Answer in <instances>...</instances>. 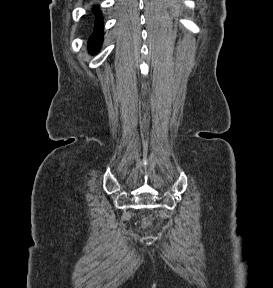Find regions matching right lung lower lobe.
Instances as JSON below:
<instances>
[{"label":"right lung lower lobe","mask_w":273,"mask_h":288,"mask_svg":"<svg viewBox=\"0 0 273 288\" xmlns=\"http://www.w3.org/2000/svg\"><path fill=\"white\" fill-rule=\"evenodd\" d=\"M97 18H96V22H95V29L93 34L91 35L90 39H89V45L88 48L90 49L91 53H95L98 51L101 42H102V17L99 15L98 12L95 13Z\"/></svg>","instance_id":"98d812e1"}]
</instances>
